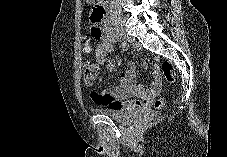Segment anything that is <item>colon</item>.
<instances>
[{
	"label": "colon",
	"mask_w": 227,
	"mask_h": 157,
	"mask_svg": "<svg viewBox=\"0 0 227 157\" xmlns=\"http://www.w3.org/2000/svg\"><path fill=\"white\" fill-rule=\"evenodd\" d=\"M91 16H97L95 9L92 11ZM92 35L94 38L98 39L100 36V32H92ZM83 43H84V46H91L90 38L85 36L83 38ZM161 70L165 79L168 82L171 83L174 81V67L170 61H164L161 65ZM83 71H84L85 83L87 85H92L96 81L99 75L100 68L93 61L86 60L84 62ZM166 104H167V100L164 98L157 99L154 103L155 107L158 109L165 107Z\"/></svg>",
	"instance_id": "colon-1"
}]
</instances>
